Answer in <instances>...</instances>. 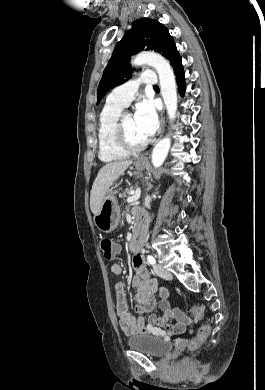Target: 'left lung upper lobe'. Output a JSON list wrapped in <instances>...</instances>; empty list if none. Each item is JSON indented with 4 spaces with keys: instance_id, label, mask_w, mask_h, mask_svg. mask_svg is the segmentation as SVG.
<instances>
[{
    "instance_id": "left-lung-upper-lobe-1",
    "label": "left lung upper lobe",
    "mask_w": 265,
    "mask_h": 390,
    "mask_svg": "<svg viewBox=\"0 0 265 390\" xmlns=\"http://www.w3.org/2000/svg\"><path fill=\"white\" fill-rule=\"evenodd\" d=\"M143 50H154L170 60L179 54L168 29L157 20L142 18L132 23L114 48L98 86L97 103L106 92L131 77L130 57Z\"/></svg>"
}]
</instances>
